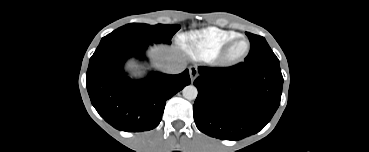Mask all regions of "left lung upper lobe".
<instances>
[{"label": "left lung upper lobe", "mask_w": 369, "mask_h": 152, "mask_svg": "<svg viewBox=\"0 0 369 152\" xmlns=\"http://www.w3.org/2000/svg\"><path fill=\"white\" fill-rule=\"evenodd\" d=\"M251 49L245 62H279L264 37L246 32Z\"/></svg>", "instance_id": "left-lung-upper-lobe-1"}]
</instances>
